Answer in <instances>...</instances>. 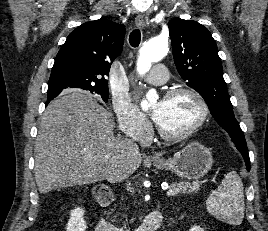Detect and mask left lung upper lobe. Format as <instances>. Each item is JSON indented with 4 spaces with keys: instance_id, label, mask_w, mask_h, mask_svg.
<instances>
[{
    "instance_id": "1",
    "label": "left lung upper lobe",
    "mask_w": 268,
    "mask_h": 231,
    "mask_svg": "<svg viewBox=\"0 0 268 231\" xmlns=\"http://www.w3.org/2000/svg\"><path fill=\"white\" fill-rule=\"evenodd\" d=\"M168 27L178 73L204 98L212 116L228 132L236 148L247 150L244 134L233 114L221 59L211 33L196 21L183 19L170 20Z\"/></svg>"
}]
</instances>
